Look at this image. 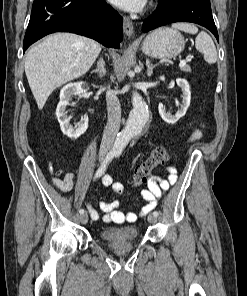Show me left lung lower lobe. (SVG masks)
Wrapping results in <instances>:
<instances>
[{
	"instance_id": "1",
	"label": "left lung lower lobe",
	"mask_w": 247,
	"mask_h": 296,
	"mask_svg": "<svg viewBox=\"0 0 247 296\" xmlns=\"http://www.w3.org/2000/svg\"><path fill=\"white\" fill-rule=\"evenodd\" d=\"M174 22H192L202 25L219 40L210 0H159L157 9L143 23L142 31L148 32Z\"/></svg>"
}]
</instances>
